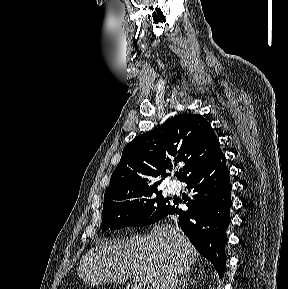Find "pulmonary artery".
Instances as JSON below:
<instances>
[{
  "instance_id": "1",
  "label": "pulmonary artery",
  "mask_w": 288,
  "mask_h": 289,
  "mask_svg": "<svg viewBox=\"0 0 288 289\" xmlns=\"http://www.w3.org/2000/svg\"><path fill=\"white\" fill-rule=\"evenodd\" d=\"M167 189L171 194H176L180 191V186L175 182H171L168 184Z\"/></svg>"
}]
</instances>
